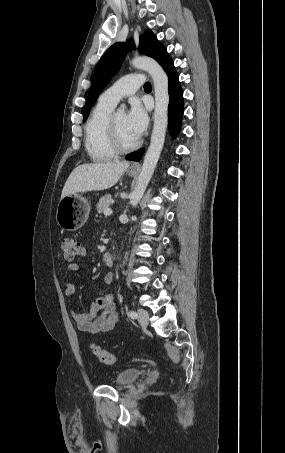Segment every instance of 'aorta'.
Instances as JSON below:
<instances>
[{
    "label": "aorta",
    "instance_id": "762f6f07",
    "mask_svg": "<svg viewBox=\"0 0 285 453\" xmlns=\"http://www.w3.org/2000/svg\"><path fill=\"white\" fill-rule=\"evenodd\" d=\"M131 64L133 67L143 69L151 75L155 91L154 127L151 142L130 200L131 205L136 207L153 175L164 145L168 123L169 90L168 77L157 61L149 57H135ZM124 107V105H121L122 109Z\"/></svg>",
    "mask_w": 285,
    "mask_h": 453
}]
</instances>
